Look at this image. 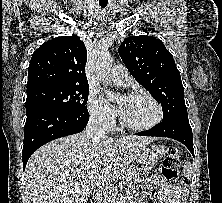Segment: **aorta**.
Listing matches in <instances>:
<instances>
[{"mask_svg":"<svg viewBox=\"0 0 222 203\" xmlns=\"http://www.w3.org/2000/svg\"><path fill=\"white\" fill-rule=\"evenodd\" d=\"M113 58L108 52H103L97 59L95 71L102 83L110 82V71L112 68Z\"/></svg>","mask_w":222,"mask_h":203,"instance_id":"aorta-1","label":"aorta"}]
</instances>
